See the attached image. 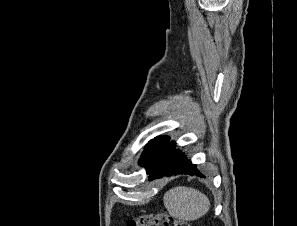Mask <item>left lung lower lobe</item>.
I'll list each match as a JSON object with an SVG mask.
<instances>
[{
  "mask_svg": "<svg viewBox=\"0 0 297 226\" xmlns=\"http://www.w3.org/2000/svg\"><path fill=\"white\" fill-rule=\"evenodd\" d=\"M175 147L176 145L173 142L169 144L164 154L149 174V180L172 174H189L191 176L205 177L199 170H196V165H193L191 161L182 154L181 151L175 149Z\"/></svg>",
  "mask_w": 297,
  "mask_h": 226,
  "instance_id": "left-lung-lower-lobe-1",
  "label": "left lung lower lobe"
}]
</instances>
